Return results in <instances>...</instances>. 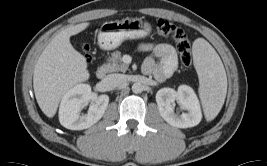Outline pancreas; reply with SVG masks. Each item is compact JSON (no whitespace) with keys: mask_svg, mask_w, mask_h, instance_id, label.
<instances>
[{"mask_svg":"<svg viewBox=\"0 0 267 166\" xmlns=\"http://www.w3.org/2000/svg\"><path fill=\"white\" fill-rule=\"evenodd\" d=\"M128 67L129 66L122 61L121 52L119 51L113 52L106 64L103 65L106 72H126Z\"/></svg>","mask_w":267,"mask_h":166,"instance_id":"obj_1","label":"pancreas"}]
</instances>
